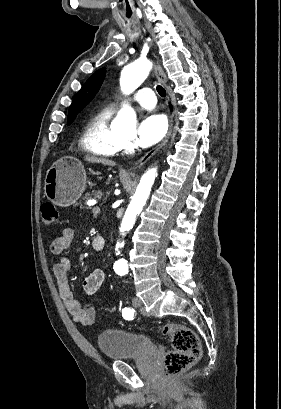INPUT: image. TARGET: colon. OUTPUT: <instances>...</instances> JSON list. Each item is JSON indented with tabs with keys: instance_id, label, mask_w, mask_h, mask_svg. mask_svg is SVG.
<instances>
[{
	"instance_id": "1",
	"label": "colon",
	"mask_w": 281,
	"mask_h": 409,
	"mask_svg": "<svg viewBox=\"0 0 281 409\" xmlns=\"http://www.w3.org/2000/svg\"><path fill=\"white\" fill-rule=\"evenodd\" d=\"M42 222L50 227L58 222V211L51 202L41 205ZM154 328L169 336L173 350L169 351L163 361V369L175 374L187 368L200 358V344L196 332L179 324H156Z\"/></svg>"
}]
</instances>
